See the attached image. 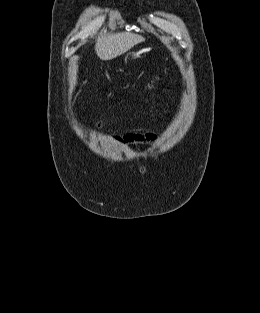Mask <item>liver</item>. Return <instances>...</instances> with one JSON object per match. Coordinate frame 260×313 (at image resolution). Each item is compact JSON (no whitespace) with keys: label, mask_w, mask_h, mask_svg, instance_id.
I'll return each mask as SVG.
<instances>
[{"label":"liver","mask_w":260,"mask_h":313,"mask_svg":"<svg viewBox=\"0 0 260 313\" xmlns=\"http://www.w3.org/2000/svg\"><path fill=\"white\" fill-rule=\"evenodd\" d=\"M145 39L133 33H116L102 37L95 46V51L101 60H112L130 50Z\"/></svg>","instance_id":"6515ba94"}]
</instances>
